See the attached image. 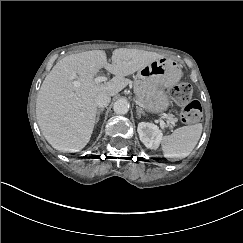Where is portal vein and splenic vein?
Masks as SVG:
<instances>
[{"label":"portal vein and splenic vein","mask_w":243,"mask_h":243,"mask_svg":"<svg viewBox=\"0 0 243 243\" xmlns=\"http://www.w3.org/2000/svg\"><path fill=\"white\" fill-rule=\"evenodd\" d=\"M106 80H107L106 77L99 76V77H96L95 78V83L103 82V81H106ZM158 122H159V126L161 128V131L163 133H166L167 130H168V126L164 123L163 119L162 118H159L158 119Z\"/></svg>","instance_id":"obj_1"}]
</instances>
